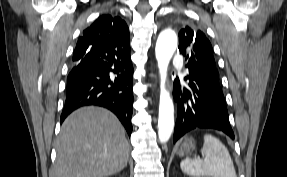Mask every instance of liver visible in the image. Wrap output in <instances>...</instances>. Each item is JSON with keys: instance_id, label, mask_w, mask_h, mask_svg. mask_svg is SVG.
I'll return each mask as SVG.
<instances>
[{"instance_id": "liver-1", "label": "liver", "mask_w": 287, "mask_h": 177, "mask_svg": "<svg viewBox=\"0 0 287 177\" xmlns=\"http://www.w3.org/2000/svg\"><path fill=\"white\" fill-rule=\"evenodd\" d=\"M52 177H106L120 172L129 159L125 130L110 111L83 107L63 122L55 145Z\"/></svg>"}]
</instances>
